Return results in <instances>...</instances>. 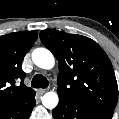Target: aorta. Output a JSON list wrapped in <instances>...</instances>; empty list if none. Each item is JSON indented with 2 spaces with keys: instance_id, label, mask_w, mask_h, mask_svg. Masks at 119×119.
Returning a JSON list of instances; mask_svg holds the SVG:
<instances>
[{
  "instance_id": "obj_1",
  "label": "aorta",
  "mask_w": 119,
  "mask_h": 119,
  "mask_svg": "<svg viewBox=\"0 0 119 119\" xmlns=\"http://www.w3.org/2000/svg\"><path fill=\"white\" fill-rule=\"evenodd\" d=\"M32 60L34 64L42 69H51L54 67L55 59L53 54L46 48H37L32 52ZM59 101L56 92H47L42 97V104L48 108L53 109L57 106Z\"/></svg>"
}]
</instances>
